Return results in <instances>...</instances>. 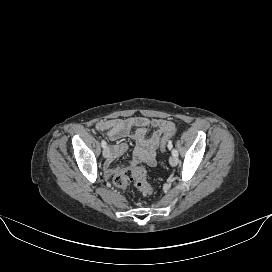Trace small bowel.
Returning a JSON list of instances; mask_svg holds the SVG:
<instances>
[{"label":"small bowel","mask_w":272,"mask_h":272,"mask_svg":"<svg viewBox=\"0 0 272 272\" xmlns=\"http://www.w3.org/2000/svg\"><path fill=\"white\" fill-rule=\"evenodd\" d=\"M150 128L154 129L151 135L148 134ZM173 128L174 124L169 120L140 116L105 120L96 124V129L105 132L112 141L131 138L134 142L133 164L145 163L149 166L156 165V150L162 135ZM126 150L125 143L115 144L111 147V157L116 158ZM106 171L109 174L113 172L109 164L106 166Z\"/></svg>","instance_id":"c3829d8e"}]
</instances>
